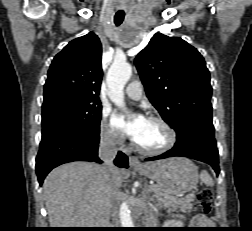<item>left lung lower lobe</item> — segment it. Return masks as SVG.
Instances as JSON below:
<instances>
[{
	"mask_svg": "<svg viewBox=\"0 0 252 231\" xmlns=\"http://www.w3.org/2000/svg\"><path fill=\"white\" fill-rule=\"evenodd\" d=\"M177 141L166 153L147 158L146 161L183 156L208 163L219 174V157L214 137L212 118L191 117L184 120L176 129Z\"/></svg>",
	"mask_w": 252,
	"mask_h": 231,
	"instance_id": "obj_1",
	"label": "left lung lower lobe"
}]
</instances>
